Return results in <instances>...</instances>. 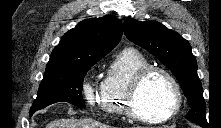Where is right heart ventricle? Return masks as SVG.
<instances>
[{
    "instance_id": "right-heart-ventricle-1",
    "label": "right heart ventricle",
    "mask_w": 221,
    "mask_h": 128,
    "mask_svg": "<svg viewBox=\"0 0 221 128\" xmlns=\"http://www.w3.org/2000/svg\"><path fill=\"white\" fill-rule=\"evenodd\" d=\"M150 66L149 60L138 50L126 48L110 62L98 96L100 109L114 116H129L127 93L135 75Z\"/></svg>"
}]
</instances>
